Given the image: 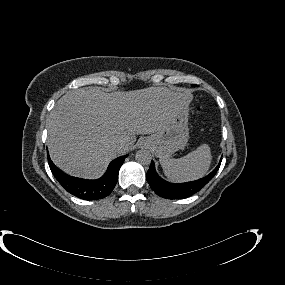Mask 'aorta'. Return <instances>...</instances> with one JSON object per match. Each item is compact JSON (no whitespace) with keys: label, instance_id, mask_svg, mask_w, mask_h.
<instances>
[{"label":"aorta","instance_id":"obj_1","mask_svg":"<svg viewBox=\"0 0 285 285\" xmlns=\"http://www.w3.org/2000/svg\"><path fill=\"white\" fill-rule=\"evenodd\" d=\"M135 159L138 163L142 165H148L151 163L152 156H151L150 151L141 149L136 152Z\"/></svg>","mask_w":285,"mask_h":285}]
</instances>
